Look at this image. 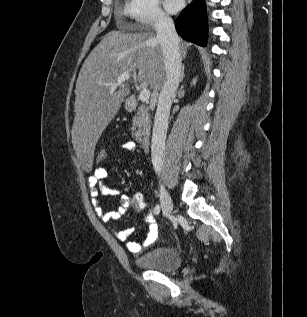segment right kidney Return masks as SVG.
Segmentation results:
<instances>
[{
    "label": "right kidney",
    "instance_id": "ca27d5eb",
    "mask_svg": "<svg viewBox=\"0 0 307 317\" xmlns=\"http://www.w3.org/2000/svg\"><path fill=\"white\" fill-rule=\"evenodd\" d=\"M196 83V79H193V82H192V84H195Z\"/></svg>",
    "mask_w": 307,
    "mask_h": 317
}]
</instances>
